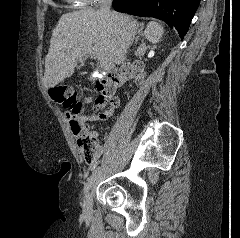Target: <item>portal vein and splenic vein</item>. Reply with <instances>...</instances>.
I'll return each instance as SVG.
<instances>
[{"label":"portal vein and splenic vein","mask_w":240,"mask_h":238,"mask_svg":"<svg viewBox=\"0 0 240 238\" xmlns=\"http://www.w3.org/2000/svg\"><path fill=\"white\" fill-rule=\"evenodd\" d=\"M85 53L87 54H93L95 55L98 59H100L103 67L106 69H109L113 66V63H111L107 58H105L98 50L96 47H87L85 49Z\"/></svg>","instance_id":"1"}]
</instances>
